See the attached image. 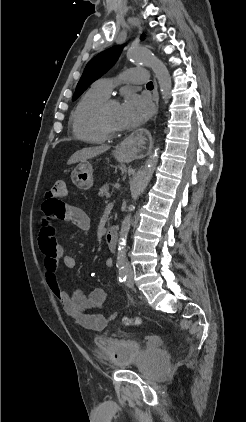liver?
I'll return each mask as SVG.
<instances>
[{
  "label": "liver",
  "instance_id": "6515ba94",
  "mask_svg": "<svg viewBox=\"0 0 246 422\" xmlns=\"http://www.w3.org/2000/svg\"><path fill=\"white\" fill-rule=\"evenodd\" d=\"M110 149V146L108 145H101L98 147H90V148H84L77 152H75L70 159L68 160V164H73L77 162H84L87 159H91L93 157L99 156L102 153L106 152Z\"/></svg>",
  "mask_w": 246,
  "mask_h": 422
}]
</instances>
